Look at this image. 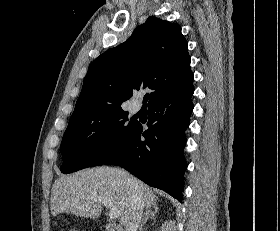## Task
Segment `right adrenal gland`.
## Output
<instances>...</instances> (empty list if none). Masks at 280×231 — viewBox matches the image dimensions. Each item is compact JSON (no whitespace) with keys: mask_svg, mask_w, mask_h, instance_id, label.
<instances>
[{"mask_svg":"<svg viewBox=\"0 0 280 231\" xmlns=\"http://www.w3.org/2000/svg\"><path fill=\"white\" fill-rule=\"evenodd\" d=\"M157 211H159L157 205H154L153 209H147L146 213H145V217L139 227L140 231H143L144 227H145V223H147V219H155V215L157 213Z\"/></svg>","mask_w":280,"mask_h":231,"instance_id":"1","label":"right adrenal gland"}]
</instances>
